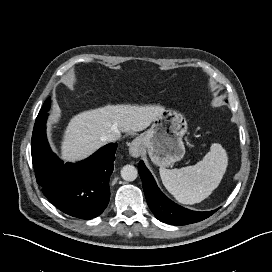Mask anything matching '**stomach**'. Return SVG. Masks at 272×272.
<instances>
[{
	"instance_id": "stomach-1",
	"label": "stomach",
	"mask_w": 272,
	"mask_h": 272,
	"mask_svg": "<svg viewBox=\"0 0 272 272\" xmlns=\"http://www.w3.org/2000/svg\"><path fill=\"white\" fill-rule=\"evenodd\" d=\"M186 132L185 117L177 111L164 110L138 140L154 164L168 167L184 157L183 136Z\"/></svg>"
}]
</instances>
